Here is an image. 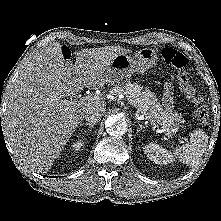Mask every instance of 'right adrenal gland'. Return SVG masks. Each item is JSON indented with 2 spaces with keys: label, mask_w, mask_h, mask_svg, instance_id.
Returning <instances> with one entry per match:
<instances>
[{
  "label": "right adrenal gland",
  "mask_w": 221,
  "mask_h": 221,
  "mask_svg": "<svg viewBox=\"0 0 221 221\" xmlns=\"http://www.w3.org/2000/svg\"><path fill=\"white\" fill-rule=\"evenodd\" d=\"M83 125L88 126L91 130L94 127L95 124L94 123H88V122L80 124V126H83Z\"/></svg>",
  "instance_id": "1"
}]
</instances>
